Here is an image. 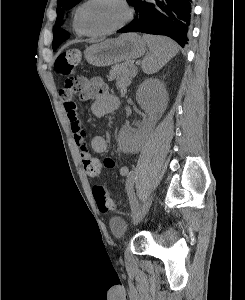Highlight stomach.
I'll return each mask as SVG.
<instances>
[{"instance_id": "0dacf381", "label": "stomach", "mask_w": 245, "mask_h": 300, "mask_svg": "<svg viewBox=\"0 0 245 300\" xmlns=\"http://www.w3.org/2000/svg\"><path fill=\"white\" fill-rule=\"evenodd\" d=\"M145 40L136 33H125L116 39H107L85 50L87 62L93 66L104 67L123 61L134 60L144 54Z\"/></svg>"}]
</instances>
